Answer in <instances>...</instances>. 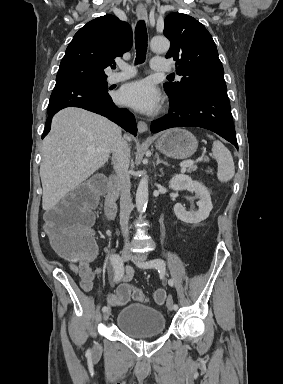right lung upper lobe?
<instances>
[{
	"label": "right lung upper lobe",
	"instance_id": "cb5924a9",
	"mask_svg": "<svg viewBox=\"0 0 283 384\" xmlns=\"http://www.w3.org/2000/svg\"><path fill=\"white\" fill-rule=\"evenodd\" d=\"M132 46L131 27L107 14L88 22L68 45L55 88L106 81L104 69Z\"/></svg>",
	"mask_w": 283,
	"mask_h": 384
}]
</instances>
